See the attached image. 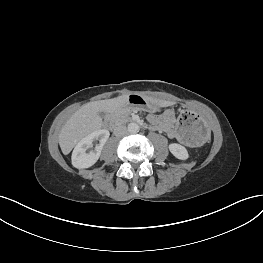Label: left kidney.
I'll list each match as a JSON object with an SVG mask.
<instances>
[{"label": "left kidney", "mask_w": 263, "mask_h": 263, "mask_svg": "<svg viewBox=\"0 0 263 263\" xmlns=\"http://www.w3.org/2000/svg\"><path fill=\"white\" fill-rule=\"evenodd\" d=\"M169 150L177 159L186 160L189 157L187 149L178 143L170 144Z\"/></svg>", "instance_id": "1"}]
</instances>
